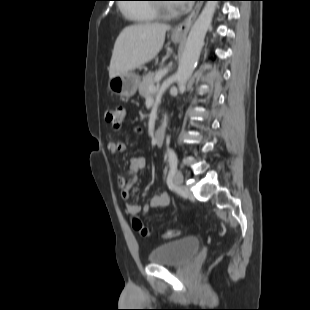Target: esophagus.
<instances>
[{
	"label": "esophagus",
	"mask_w": 310,
	"mask_h": 310,
	"mask_svg": "<svg viewBox=\"0 0 310 310\" xmlns=\"http://www.w3.org/2000/svg\"><path fill=\"white\" fill-rule=\"evenodd\" d=\"M202 3L198 2L191 13L178 25H176L172 31L173 35L179 36V37H185L187 35V32L189 31L191 25L193 24L194 20L196 19L200 9H201Z\"/></svg>",
	"instance_id": "obj_1"
}]
</instances>
